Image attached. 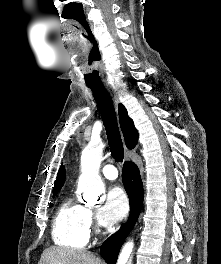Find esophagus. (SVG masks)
Here are the masks:
<instances>
[{"label": "esophagus", "mask_w": 221, "mask_h": 264, "mask_svg": "<svg viewBox=\"0 0 221 264\" xmlns=\"http://www.w3.org/2000/svg\"><path fill=\"white\" fill-rule=\"evenodd\" d=\"M105 88H106V90L108 91V93L110 94V96L112 97V99H113L115 105H117V104H118V96H117V93H116V92L113 90V88H112L110 85H108V84L105 85Z\"/></svg>", "instance_id": "1"}]
</instances>
